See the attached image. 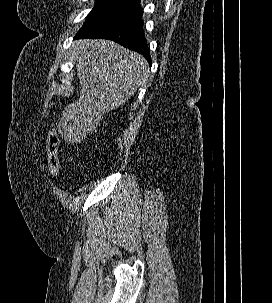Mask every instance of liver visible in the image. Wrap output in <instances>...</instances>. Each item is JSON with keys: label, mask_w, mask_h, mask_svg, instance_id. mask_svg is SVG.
Segmentation results:
<instances>
[{"label": "liver", "mask_w": 272, "mask_h": 303, "mask_svg": "<svg viewBox=\"0 0 272 303\" xmlns=\"http://www.w3.org/2000/svg\"><path fill=\"white\" fill-rule=\"evenodd\" d=\"M80 81L79 99L64 107L58 129L69 142L92 133L104 115L134 95L149 76L146 59L110 40H79L74 44Z\"/></svg>", "instance_id": "6515ba94"}]
</instances>
